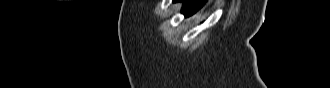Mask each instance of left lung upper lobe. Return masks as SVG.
<instances>
[{"mask_svg":"<svg viewBox=\"0 0 330 88\" xmlns=\"http://www.w3.org/2000/svg\"><path fill=\"white\" fill-rule=\"evenodd\" d=\"M202 5H203L202 1L199 0L198 3L195 4V9H196V11H197L198 9H200V7H201Z\"/></svg>","mask_w":330,"mask_h":88,"instance_id":"5c2ea615","label":"left lung upper lobe"}]
</instances>
